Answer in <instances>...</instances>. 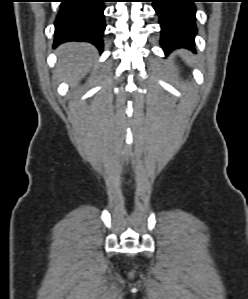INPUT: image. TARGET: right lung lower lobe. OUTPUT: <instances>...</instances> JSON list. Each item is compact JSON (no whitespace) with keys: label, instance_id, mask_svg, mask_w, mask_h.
<instances>
[{"label":"right lung lower lobe","instance_id":"1","mask_svg":"<svg viewBox=\"0 0 248 299\" xmlns=\"http://www.w3.org/2000/svg\"><path fill=\"white\" fill-rule=\"evenodd\" d=\"M104 1L61 0L55 21L54 47L69 41H84L103 49Z\"/></svg>","mask_w":248,"mask_h":299}]
</instances>
